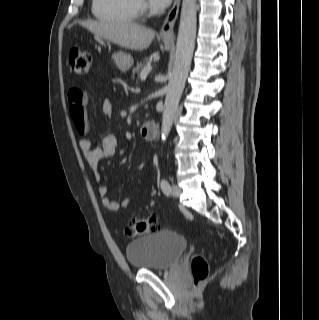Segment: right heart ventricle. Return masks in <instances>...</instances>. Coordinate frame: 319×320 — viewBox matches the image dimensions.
Segmentation results:
<instances>
[{
	"label": "right heart ventricle",
	"mask_w": 319,
	"mask_h": 320,
	"mask_svg": "<svg viewBox=\"0 0 319 320\" xmlns=\"http://www.w3.org/2000/svg\"><path fill=\"white\" fill-rule=\"evenodd\" d=\"M93 15L102 21L129 24L137 18L136 0H93Z\"/></svg>",
	"instance_id": "e07e8e85"
}]
</instances>
